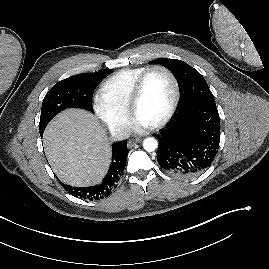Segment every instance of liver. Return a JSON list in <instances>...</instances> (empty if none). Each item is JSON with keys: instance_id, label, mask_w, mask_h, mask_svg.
Listing matches in <instances>:
<instances>
[{"instance_id": "obj_1", "label": "liver", "mask_w": 269, "mask_h": 269, "mask_svg": "<svg viewBox=\"0 0 269 269\" xmlns=\"http://www.w3.org/2000/svg\"><path fill=\"white\" fill-rule=\"evenodd\" d=\"M43 142L53 171L73 186L96 184L111 161L105 130L94 115L82 109L57 115L46 128Z\"/></svg>"}]
</instances>
